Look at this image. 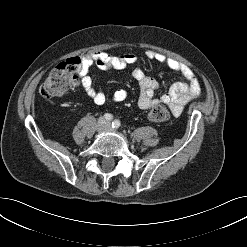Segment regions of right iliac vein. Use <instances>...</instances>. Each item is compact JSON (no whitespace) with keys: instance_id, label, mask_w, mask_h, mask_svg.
<instances>
[{"instance_id":"1","label":"right iliac vein","mask_w":247,"mask_h":247,"mask_svg":"<svg viewBox=\"0 0 247 247\" xmlns=\"http://www.w3.org/2000/svg\"><path fill=\"white\" fill-rule=\"evenodd\" d=\"M96 128H97V131H99V132H102V131H104L105 130V128H106V123H105V120L104 119H99L98 120V122H97V126H96Z\"/></svg>"}]
</instances>
